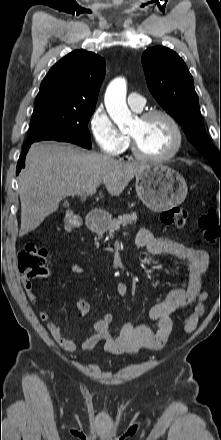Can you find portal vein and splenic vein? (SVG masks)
I'll return each instance as SVG.
<instances>
[{
    "instance_id": "1",
    "label": "portal vein and splenic vein",
    "mask_w": 221,
    "mask_h": 440,
    "mask_svg": "<svg viewBox=\"0 0 221 440\" xmlns=\"http://www.w3.org/2000/svg\"><path fill=\"white\" fill-rule=\"evenodd\" d=\"M95 192H96V189H91V190L87 193V195H93Z\"/></svg>"
}]
</instances>
